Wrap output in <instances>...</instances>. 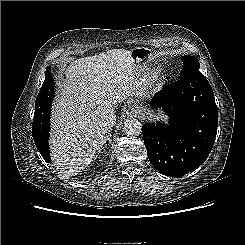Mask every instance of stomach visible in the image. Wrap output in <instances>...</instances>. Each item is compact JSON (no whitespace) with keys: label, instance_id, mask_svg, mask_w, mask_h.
<instances>
[{"label":"stomach","instance_id":"obj_1","mask_svg":"<svg viewBox=\"0 0 245 245\" xmlns=\"http://www.w3.org/2000/svg\"><path fill=\"white\" fill-rule=\"evenodd\" d=\"M130 53L133 60L138 64L145 61H150L153 58L152 50L147 47H135L131 49ZM147 115L149 117H157V118L161 116L160 113L155 114L153 111H148Z\"/></svg>","mask_w":245,"mask_h":245}]
</instances>
